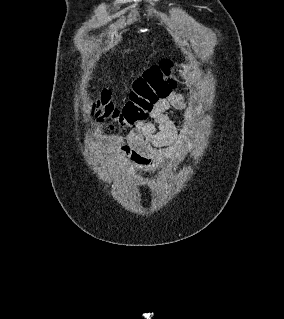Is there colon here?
Returning <instances> with one entry per match:
<instances>
[{"label": "colon", "mask_w": 284, "mask_h": 319, "mask_svg": "<svg viewBox=\"0 0 284 319\" xmlns=\"http://www.w3.org/2000/svg\"><path fill=\"white\" fill-rule=\"evenodd\" d=\"M173 66L169 61L148 68L134 80L129 99L117 107L108 92L103 91L90 106L91 115L110 128L126 131L147 119L154 106L175 89Z\"/></svg>", "instance_id": "obj_1"}]
</instances>
